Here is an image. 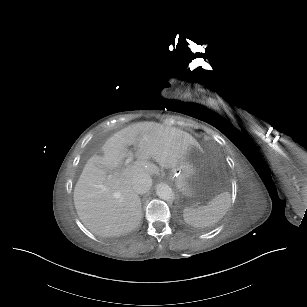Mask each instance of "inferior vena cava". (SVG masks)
<instances>
[{
    "mask_svg": "<svg viewBox=\"0 0 307 307\" xmlns=\"http://www.w3.org/2000/svg\"><path fill=\"white\" fill-rule=\"evenodd\" d=\"M152 186V179L149 175L140 174L133 178L132 180V189L137 194L147 193Z\"/></svg>",
    "mask_w": 307,
    "mask_h": 307,
    "instance_id": "obj_1",
    "label": "inferior vena cava"
}]
</instances>
